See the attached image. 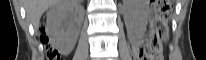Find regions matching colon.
Listing matches in <instances>:
<instances>
[{
    "label": "colon",
    "instance_id": "colon-1",
    "mask_svg": "<svg viewBox=\"0 0 206 60\" xmlns=\"http://www.w3.org/2000/svg\"><path fill=\"white\" fill-rule=\"evenodd\" d=\"M171 0H155L153 3L154 18L149 28V39L146 45L139 49L135 57L137 60H163L162 41L167 36L169 24V12ZM40 40L46 45V56L48 59H57L58 53L48 45V37L45 27L40 26Z\"/></svg>",
    "mask_w": 206,
    "mask_h": 60
}]
</instances>
